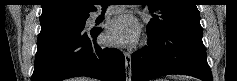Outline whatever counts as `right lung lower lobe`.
<instances>
[{
  "label": "right lung lower lobe",
  "mask_w": 237,
  "mask_h": 81,
  "mask_svg": "<svg viewBox=\"0 0 237 81\" xmlns=\"http://www.w3.org/2000/svg\"><path fill=\"white\" fill-rule=\"evenodd\" d=\"M100 28L87 31L85 24H41L31 81H61L88 76L104 81H125V58L115 48L96 44Z\"/></svg>",
  "instance_id": "1"
}]
</instances>
